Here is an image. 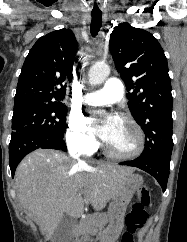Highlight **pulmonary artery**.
Masks as SVG:
<instances>
[{
  "mask_svg": "<svg viewBox=\"0 0 187 242\" xmlns=\"http://www.w3.org/2000/svg\"><path fill=\"white\" fill-rule=\"evenodd\" d=\"M123 97V84L117 78H109L97 91L87 93L84 101L93 106L113 104Z\"/></svg>",
  "mask_w": 187,
  "mask_h": 242,
  "instance_id": "obj_1",
  "label": "pulmonary artery"
}]
</instances>
